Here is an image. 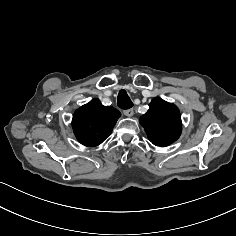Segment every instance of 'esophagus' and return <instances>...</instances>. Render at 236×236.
Here are the masks:
<instances>
[{
    "instance_id": "esophagus-1",
    "label": "esophagus",
    "mask_w": 236,
    "mask_h": 236,
    "mask_svg": "<svg viewBox=\"0 0 236 236\" xmlns=\"http://www.w3.org/2000/svg\"><path fill=\"white\" fill-rule=\"evenodd\" d=\"M124 115L127 117H131L134 115V110L133 109H127L123 111Z\"/></svg>"
}]
</instances>
